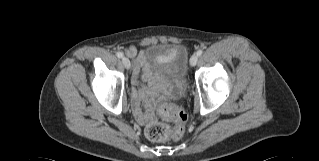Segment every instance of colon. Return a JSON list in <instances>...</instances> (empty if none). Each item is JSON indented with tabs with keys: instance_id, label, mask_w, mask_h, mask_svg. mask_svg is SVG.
I'll return each instance as SVG.
<instances>
[{
	"instance_id": "1",
	"label": "colon",
	"mask_w": 319,
	"mask_h": 161,
	"mask_svg": "<svg viewBox=\"0 0 319 161\" xmlns=\"http://www.w3.org/2000/svg\"><path fill=\"white\" fill-rule=\"evenodd\" d=\"M158 114L164 122H156L146 129V136L154 142L180 139L185 131L187 115L176 104H167L159 108ZM168 122L173 123L171 127Z\"/></svg>"
}]
</instances>
